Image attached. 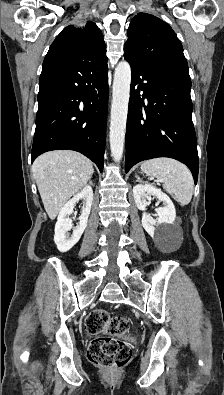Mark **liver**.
I'll return each mask as SVG.
<instances>
[{
	"label": "liver",
	"instance_id": "1",
	"mask_svg": "<svg viewBox=\"0 0 224 395\" xmlns=\"http://www.w3.org/2000/svg\"><path fill=\"white\" fill-rule=\"evenodd\" d=\"M93 172L92 161L70 150L46 152L34 161L33 177L51 220L72 196L86 186Z\"/></svg>",
	"mask_w": 224,
	"mask_h": 395
}]
</instances>
